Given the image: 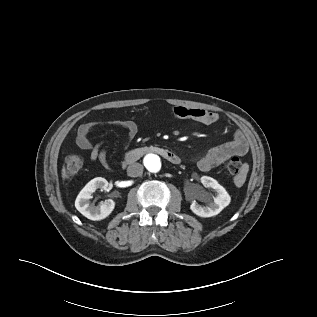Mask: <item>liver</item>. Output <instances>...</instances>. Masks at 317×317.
<instances>
[{
  "instance_id": "obj_1",
  "label": "liver",
  "mask_w": 317,
  "mask_h": 317,
  "mask_svg": "<svg viewBox=\"0 0 317 317\" xmlns=\"http://www.w3.org/2000/svg\"><path fill=\"white\" fill-rule=\"evenodd\" d=\"M62 177H63V178L66 177V169H65V167H63V169H62Z\"/></svg>"
}]
</instances>
